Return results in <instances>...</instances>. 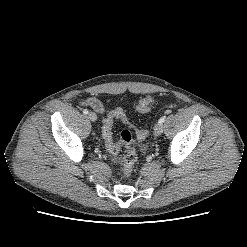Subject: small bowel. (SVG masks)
Returning <instances> with one entry per match:
<instances>
[{"instance_id": "small-bowel-1", "label": "small bowel", "mask_w": 247, "mask_h": 247, "mask_svg": "<svg viewBox=\"0 0 247 247\" xmlns=\"http://www.w3.org/2000/svg\"><path fill=\"white\" fill-rule=\"evenodd\" d=\"M85 104L87 106H90L92 109H94L98 113L104 112V107H103L102 103L95 97H90V98L86 99ZM116 155H112L114 157L115 162L117 161Z\"/></svg>"}]
</instances>
